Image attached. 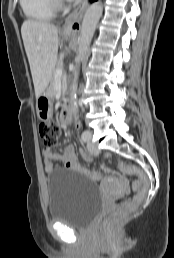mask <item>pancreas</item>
<instances>
[{"label": "pancreas", "mask_w": 174, "mask_h": 258, "mask_svg": "<svg viewBox=\"0 0 174 258\" xmlns=\"http://www.w3.org/2000/svg\"><path fill=\"white\" fill-rule=\"evenodd\" d=\"M63 66V63L62 61H58L55 68H54V71H53V76H52V82H51V86H50V93L51 95L53 96L54 95V83H55V74H56V71L61 69Z\"/></svg>", "instance_id": "obj_1"}]
</instances>
